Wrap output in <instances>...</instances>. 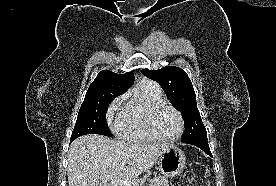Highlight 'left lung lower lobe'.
<instances>
[{
    "mask_svg": "<svg viewBox=\"0 0 276 186\" xmlns=\"http://www.w3.org/2000/svg\"><path fill=\"white\" fill-rule=\"evenodd\" d=\"M184 143L192 144L202 149L206 154L212 156L207 138H200L194 140L183 141Z\"/></svg>",
    "mask_w": 276,
    "mask_h": 186,
    "instance_id": "0a47b994",
    "label": "left lung lower lobe"
}]
</instances>
